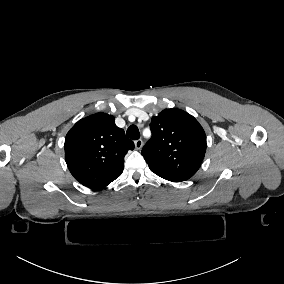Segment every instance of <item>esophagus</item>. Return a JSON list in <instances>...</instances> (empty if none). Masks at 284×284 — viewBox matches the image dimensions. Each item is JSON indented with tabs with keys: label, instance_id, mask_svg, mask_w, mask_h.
<instances>
[{
	"label": "esophagus",
	"instance_id": "esophagus-1",
	"mask_svg": "<svg viewBox=\"0 0 284 284\" xmlns=\"http://www.w3.org/2000/svg\"><path fill=\"white\" fill-rule=\"evenodd\" d=\"M142 146H143V141L141 140V139H138V140H136L135 141V147H136V149H141L142 148Z\"/></svg>",
	"mask_w": 284,
	"mask_h": 284
}]
</instances>
